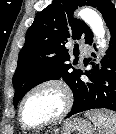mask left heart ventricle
I'll list each match as a JSON object with an SVG mask.
<instances>
[{
	"label": "left heart ventricle",
	"instance_id": "obj_1",
	"mask_svg": "<svg viewBox=\"0 0 116 134\" xmlns=\"http://www.w3.org/2000/svg\"><path fill=\"white\" fill-rule=\"evenodd\" d=\"M62 107L63 97L56 88H42L27 98L23 107V117L28 124H39L56 116Z\"/></svg>",
	"mask_w": 116,
	"mask_h": 134
}]
</instances>
